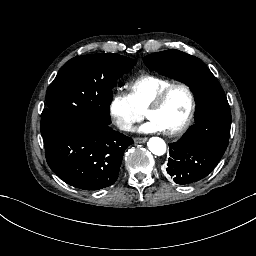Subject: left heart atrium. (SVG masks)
I'll return each instance as SVG.
<instances>
[{"mask_svg":"<svg viewBox=\"0 0 256 256\" xmlns=\"http://www.w3.org/2000/svg\"><path fill=\"white\" fill-rule=\"evenodd\" d=\"M143 130L145 132H154V133H169L166 124L157 117H151L143 125Z\"/></svg>","mask_w":256,"mask_h":256,"instance_id":"obj_1","label":"left heart atrium"}]
</instances>
